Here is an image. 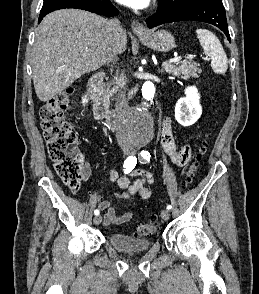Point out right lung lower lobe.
<instances>
[{
    "label": "right lung lower lobe",
    "mask_w": 259,
    "mask_h": 294,
    "mask_svg": "<svg viewBox=\"0 0 259 294\" xmlns=\"http://www.w3.org/2000/svg\"><path fill=\"white\" fill-rule=\"evenodd\" d=\"M64 8L83 9V10L97 13L99 15H105L108 17L118 15V10L112 5V3L109 0H83V1L60 0L53 3L48 8L41 9L39 22L48 13L55 10L64 9Z\"/></svg>",
    "instance_id": "1"
}]
</instances>
